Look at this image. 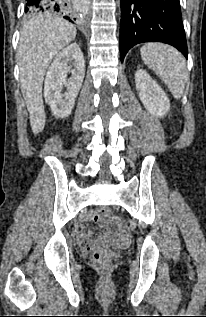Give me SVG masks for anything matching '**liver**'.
<instances>
[{"label":"liver","instance_id":"6515ba94","mask_svg":"<svg viewBox=\"0 0 206 317\" xmlns=\"http://www.w3.org/2000/svg\"><path fill=\"white\" fill-rule=\"evenodd\" d=\"M76 28L62 17L41 13L24 23L18 47L20 87L33 133L45 126L42 86L46 70L60 50L76 37Z\"/></svg>","mask_w":206,"mask_h":317}]
</instances>
